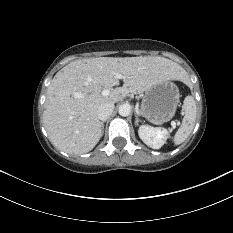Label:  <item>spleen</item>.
Returning <instances> with one entry per match:
<instances>
[{"mask_svg": "<svg viewBox=\"0 0 233 233\" xmlns=\"http://www.w3.org/2000/svg\"><path fill=\"white\" fill-rule=\"evenodd\" d=\"M185 116L182 124L174 135L173 141L175 145L182 144L191 134L196 120V103L193 96H187L183 102Z\"/></svg>", "mask_w": 233, "mask_h": 233, "instance_id": "1", "label": "spleen"}]
</instances>
